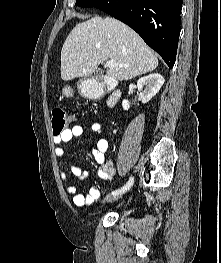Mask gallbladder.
<instances>
[{"label":"gallbladder","instance_id":"obj_1","mask_svg":"<svg viewBox=\"0 0 221 263\" xmlns=\"http://www.w3.org/2000/svg\"><path fill=\"white\" fill-rule=\"evenodd\" d=\"M102 73V70H97L96 75H100Z\"/></svg>","mask_w":221,"mask_h":263}]
</instances>
